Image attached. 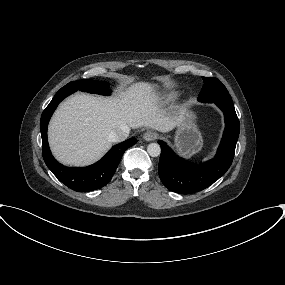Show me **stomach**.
Instances as JSON below:
<instances>
[{"mask_svg": "<svg viewBox=\"0 0 285 285\" xmlns=\"http://www.w3.org/2000/svg\"><path fill=\"white\" fill-rule=\"evenodd\" d=\"M174 142L184 157H191L202 149L203 139L196 125V115L191 110L185 109L181 113Z\"/></svg>", "mask_w": 285, "mask_h": 285, "instance_id": "obj_1", "label": "stomach"}]
</instances>
